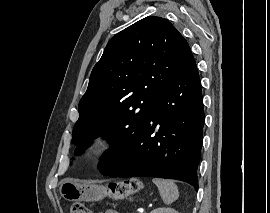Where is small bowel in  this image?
I'll return each instance as SVG.
<instances>
[{
    "label": "small bowel",
    "mask_w": 270,
    "mask_h": 213,
    "mask_svg": "<svg viewBox=\"0 0 270 213\" xmlns=\"http://www.w3.org/2000/svg\"><path fill=\"white\" fill-rule=\"evenodd\" d=\"M100 213H118V212L113 209H108L105 212H100Z\"/></svg>",
    "instance_id": "obj_1"
}]
</instances>
